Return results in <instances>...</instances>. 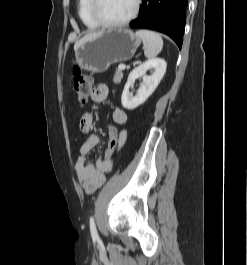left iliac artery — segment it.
Wrapping results in <instances>:
<instances>
[{"mask_svg":"<svg viewBox=\"0 0 247 265\" xmlns=\"http://www.w3.org/2000/svg\"><path fill=\"white\" fill-rule=\"evenodd\" d=\"M90 231L94 239H98V233L96 230L95 222L93 216L90 218Z\"/></svg>","mask_w":247,"mask_h":265,"instance_id":"left-iliac-artery-1","label":"left iliac artery"}]
</instances>
